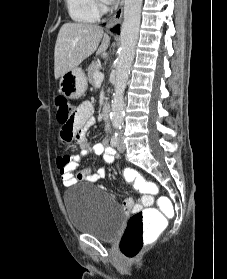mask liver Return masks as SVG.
I'll list each match as a JSON object with an SVG mask.
<instances>
[{
	"instance_id": "6515ba94",
	"label": "liver",
	"mask_w": 227,
	"mask_h": 279,
	"mask_svg": "<svg viewBox=\"0 0 227 279\" xmlns=\"http://www.w3.org/2000/svg\"><path fill=\"white\" fill-rule=\"evenodd\" d=\"M100 42L101 45L99 46ZM109 44V36L98 25L65 23L59 30L55 44V79H59L67 71L78 67L95 51H97V55L103 53L107 50Z\"/></svg>"
}]
</instances>
